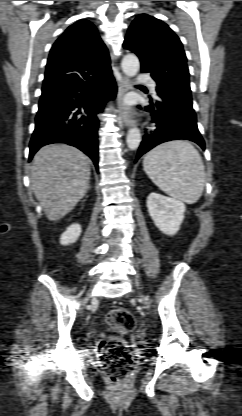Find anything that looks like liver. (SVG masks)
<instances>
[{
	"label": "liver",
	"instance_id": "6515ba94",
	"mask_svg": "<svg viewBox=\"0 0 242 416\" xmlns=\"http://www.w3.org/2000/svg\"><path fill=\"white\" fill-rule=\"evenodd\" d=\"M90 159L67 144L42 147L34 156L30 183L50 221L69 213L89 189Z\"/></svg>",
	"mask_w": 242,
	"mask_h": 416
}]
</instances>
